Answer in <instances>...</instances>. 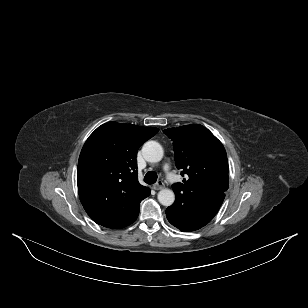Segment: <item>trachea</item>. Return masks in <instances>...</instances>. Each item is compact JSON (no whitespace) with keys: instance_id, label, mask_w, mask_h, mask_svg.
<instances>
[{"instance_id":"3493384b","label":"trachea","mask_w":308,"mask_h":308,"mask_svg":"<svg viewBox=\"0 0 308 308\" xmlns=\"http://www.w3.org/2000/svg\"><path fill=\"white\" fill-rule=\"evenodd\" d=\"M144 181L147 184H154L157 181V174L153 171L147 172L144 177Z\"/></svg>"}]
</instances>
